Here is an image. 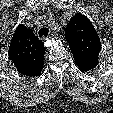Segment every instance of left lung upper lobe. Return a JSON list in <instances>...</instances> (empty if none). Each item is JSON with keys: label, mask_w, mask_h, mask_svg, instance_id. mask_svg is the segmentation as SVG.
Segmentation results:
<instances>
[{"label": "left lung upper lobe", "mask_w": 113, "mask_h": 113, "mask_svg": "<svg viewBox=\"0 0 113 113\" xmlns=\"http://www.w3.org/2000/svg\"><path fill=\"white\" fill-rule=\"evenodd\" d=\"M65 37L81 71L87 72L97 66L101 42L94 26L85 15L78 13L71 18L65 28Z\"/></svg>", "instance_id": "obj_1"}]
</instances>
